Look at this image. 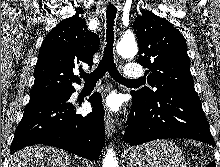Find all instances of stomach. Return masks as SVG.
Here are the masks:
<instances>
[{"label":"stomach","mask_w":220,"mask_h":167,"mask_svg":"<svg viewBox=\"0 0 220 167\" xmlns=\"http://www.w3.org/2000/svg\"><path fill=\"white\" fill-rule=\"evenodd\" d=\"M125 155L127 167H187L182 151L168 140L132 147Z\"/></svg>","instance_id":"obj_1"}]
</instances>
